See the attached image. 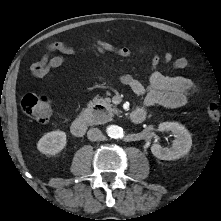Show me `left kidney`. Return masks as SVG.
<instances>
[{"mask_svg": "<svg viewBox=\"0 0 221 221\" xmlns=\"http://www.w3.org/2000/svg\"><path fill=\"white\" fill-rule=\"evenodd\" d=\"M159 131L171 132L175 140L170 148L159 144L151 146L152 154L161 160H175L186 155L192 146V138L189 131L177 122H163L158 125Z\"/></svg>", "mask_w": 221, "mask_h": 221, "instance_id": "5707ae66", "label": "left kidney"}]
</instances>
